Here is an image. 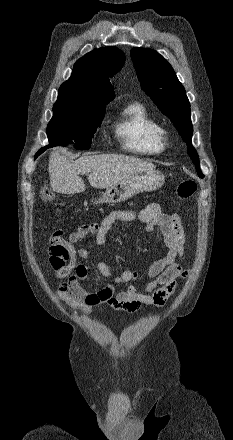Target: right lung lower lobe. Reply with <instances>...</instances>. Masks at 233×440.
Segmentation results:
<instances>
[{
	"mask_svg": "<svg viewBox=\"0 0 233 440\" xmlns=\"http://www.w3.org/2000/svg\"><path fill=\"white\" fill-rule=\"evenodd\" d=\"M46 148H48V147L41 148V149L36 153L34 159H36L38 155H40L44 150H46Z\"/></svg>",
	"mask_w": 233,
	"mask_h": 440,
	"instance_id": "1",
	"label": "right lung lower lobe"
}]
</instances>
